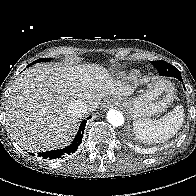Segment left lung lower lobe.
<instances>
[{"instance_id": "0a47b994", "label": "left lung lower lobe", "mask_w": 196, "mask_h": 196, "mask_svg": "<svg viewBox=\"0 0 196 196\" xmlns=\"http://www.w3.org/2000/svg\"><path fill=\"white\" fill-rule=\"evenodd\" d=\"M173 77H175V78H177V79H179L180 81L183 82V80H182V78H181V75H175V76H173ZM184 88H185V86H184Z\"/></svg>"}]
</instances>
